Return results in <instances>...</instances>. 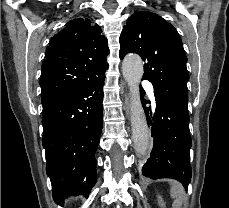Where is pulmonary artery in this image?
I'll list each match as a JSON object with an SVG mask.
<instances>
[{
  "label": "pulmonary artery",
  "mask_w": 229,
  "mask_h": 208,
  "mask_svg": "<svg viewBox=\"0 0 229 208\" xmlns=\"http://www.w3.org/2000/svg\"><path fill=\"white\" fill-rule=\"evenodd\" d=\"M142 86H146L149 96L153 98V86L150 83H142Z\"/></svg>",
  "instance_id": "obj_1"
}]
</instances>
